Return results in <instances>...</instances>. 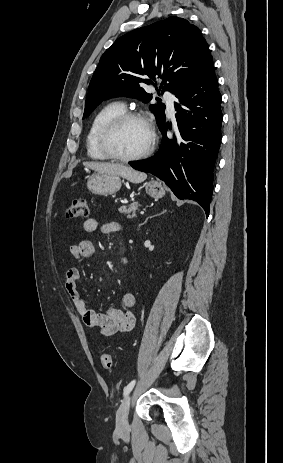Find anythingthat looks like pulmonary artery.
I'll return each instance as SVG.
<instances>
[{
    "label": "pulmonary artery",
    "mask_w": 283,
    "mask_h": 463,
    "mask_svg": "<svg viewBox=\"0 0 283 463\" xmlns=\"http://www.w3.org/2000/svg\"><path fill=\"white\" fill-rule=\"evenodd\" d=\"M164 99L167 101L168 104V112L172 116L174 113L175 96L172 93L166 91L164 93Z\"/></svg>",
    "instance_id": "obj_1"
}]
</instances>
